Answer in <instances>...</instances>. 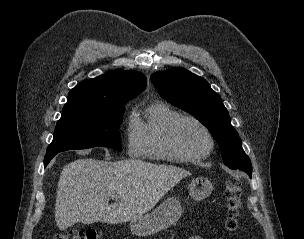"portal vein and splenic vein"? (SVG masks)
<instances>
[{
  "mask_svg": "<svg viewBox=\"0 0 304 239\" xmlns=\"http://www.w3.org/2000/svg\"><path fill=\"white\" fill-rule=\"evenodd\" d=\"M112 198H117V196L116 195H112Z\"/></svg>",
  "mask_w": 304,
  "mask_h": 239,
  "instance_id": "portal-vein-and-splenic-vein-1",
  "label": "portal vein and splenic vein"
}]
</instances>
